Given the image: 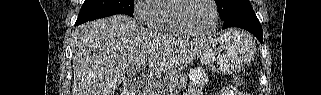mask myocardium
<instances>
[{
    "label": "myocardium",
    "instance_id": "1",
    "mask_svg": "<svg viewBox=\"0 0 321 95\" xmlns=\"http://www.w3.org/2000/svg\"><path fill=\"white\" fill-rule=\"evenodd\" d=\"M194 0H176L174 5L171 8L170 11V21L172 25L178 29L179 31L191 35V36H197V37H202V36H208L211 35L212 33L215 32V30L218 27V21H219V11L218 7L216 5V2L214 0H208L209 3L213 7V25L212 27L207 30V31H198L194 28H192L190 25H188L182 18V10L186 7V5Z\"/></svg>",
    "mask_w": 321,
    "mask_h": 95
}]
</instances>
